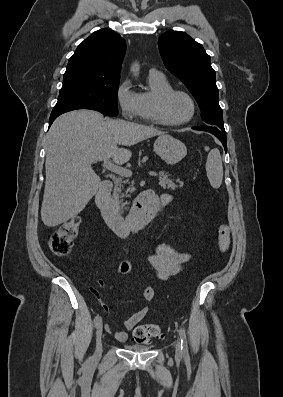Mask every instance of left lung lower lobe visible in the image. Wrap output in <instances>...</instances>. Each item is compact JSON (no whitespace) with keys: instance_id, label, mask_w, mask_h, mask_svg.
Returning <instances> with one entry per match:
<instances>
[{"instance_id":"left-lung-lower-lobe-1","label":"left lung lower lobe","mask_w":283,"mask_h":397,"mask_svg":"<svg viewBox=\"0 0 283 397\" xmlns=\"http://www.w3.org/2000/svg\"><path fill=\"white\" fill-rule=\"evenodd\" d=\"M194 130L207 131L215 135L223 144L225 152H227V138L223 130L214 129L210 126L192 127Z\"/></svg>"}]
</instances>
